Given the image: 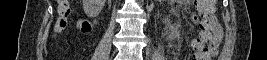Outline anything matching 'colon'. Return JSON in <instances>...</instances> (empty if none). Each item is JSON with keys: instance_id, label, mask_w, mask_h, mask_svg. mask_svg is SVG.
<instances>
[{"instance_id": "colon-1", "label": "colon", "mask_w": 267, "mask_h": 60, "mask_svg": "<svg viewBox=\"0 0 267 60\" xmlns=\"http://www.w3.org/2000/svg\"><path fill=\"white\" fill-rule=\"evenodd\" d=\"M196 9L199 14V25H200V33L204 32L208 29L209 24L214 18L215 4L216 0H197L195 1ZM58 18L54 24V29L56 32H64L69 26V15L71 13L70 1L61 0L58 1ZM91 29V25L88 22L83 24V29ZM199 33V34H200ZM205 41L200 38L198 35L192 41V45L194 47L193 58L196 60H208L210 59L209 48L206 47Z\"/></svg>"}]
</instances>
